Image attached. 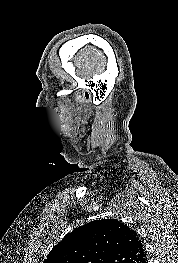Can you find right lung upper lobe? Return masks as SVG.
<instances>
[{
	"label": "right lung upper lobe",
	"instance_id": "cb5924a9",
	"mask_svg": "<svg viewBox=\"0 0 178 263\" xmlns=\"http://www.w3.org/2000/svg\"><path fill=\"white\" fill-rule=\"evenodd\" d=\"M136 232L116 219L79 226L53 247L44 263H147Z\"/></svg>",
	"mask_w": 178,
	"mask_h": 263
}]
</instances>
